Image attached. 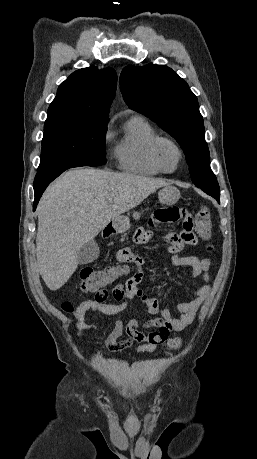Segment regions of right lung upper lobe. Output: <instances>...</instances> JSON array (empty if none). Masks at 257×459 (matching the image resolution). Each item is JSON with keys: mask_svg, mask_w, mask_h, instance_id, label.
Instances as JSON below:
<instances>
[{"mask_svg": "<svg viewBox=\"0 0 257 459\" xmlns=\"http://www.w3.org/2000/svg\"><path fill=\"white\" fill-rule=\"evenodd\" d=\"M117 75L114 69H79L58 88L48 116H64L94 123H108Z\"/></svg>", "mask_w": 257, "mask_h": 459, "instance_id": "1", "label": "right lung upper lobe"}]
</instances>
